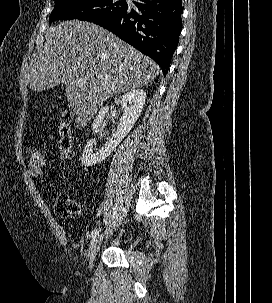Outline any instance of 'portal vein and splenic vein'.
I'll list each match as a JSON object with an SVG mask.
<instances>
[{
  "instance_id": "18ae733b",
  "label": "portal vein and splenic vein",
  "mask_w": 272,
  "mask_h": 303,
  "mask_svg": "<svg viewBox=\"0 0 272 303\" xmlns=\"http://www.w3.org/2000/svg\"><path fill=\"white\" fill-rule=\"evenodd\" d=\"M79 83H86V80L85 79H81L78 81Z\"/></svg>"
}]
</instances>
